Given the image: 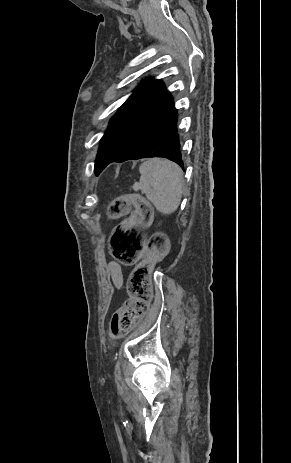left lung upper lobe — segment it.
Masks as SVG:
<instances>
[{"label": "left lung upper lobe", "instance_id": "left-lung-upper-lobe-1", "mask_svg": "<svg viewBox=\"0 0 291 463\" xmlns=\"http://www.w3.org/2000/svg\"><path fill=\"white\" fill-rule=\"evenodd\" d=\"M174 109L172 96L161 81L142 83L110 120L95 164L130 152Z\"/></svg>", "mask_w": 291, "mask_h": 463}]
</instances>
